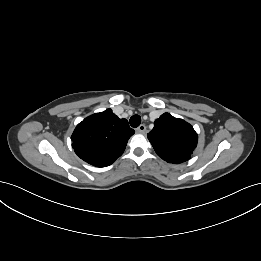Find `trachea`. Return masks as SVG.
Wrapping results in <instances>:
<instances>
[{
    "instance_id": "trachea-1",
    "label": "trachea",
    "mask_w": 261,
    "mask_h": 261,
    "mask_svg": "<svg viewBox=\"0 0 261 261\" xmlns=\"http://www.w3.org/2000/svg\"><path fill=\"white\" fill-rule=\"evenodd\" d=\"M130 125L133 127V128H136L138 127L140 124H141V117L139 115H133L131 118H130Z\"/></svg>"
}]
</instances>
